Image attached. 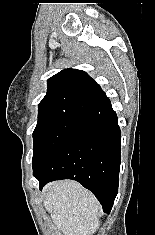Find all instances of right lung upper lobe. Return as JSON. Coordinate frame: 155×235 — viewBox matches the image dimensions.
Listing matches in <instances>:
<instances>
[{
  "label": "right lung upper lobe",
  "instance_id": "right-lung-upper-lobe-1",
  "mask_svg": "<svg viewBox=\"0 0 155 235\" xmlns=\"http://www.w3.org/2000/svg\"><path fill=\"white\" fill-rule=\"evenodd\" d=\"M98 85L84 71L65 69L48 80V91L39 103L40 112L69 114L89 123L99 120L94 114L89 90Z\"/></svg>",
  "mask_w": 155,
  "mask_h": 235
}]
</instances>
